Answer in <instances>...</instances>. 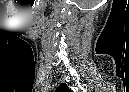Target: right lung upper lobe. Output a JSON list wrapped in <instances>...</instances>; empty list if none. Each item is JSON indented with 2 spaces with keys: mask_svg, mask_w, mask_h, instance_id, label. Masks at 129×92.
I'll list each match as a JSON object with an SVG mask.
<instances>
[{
  "mask_svg": "<svg viewBox=\"0 0 129 92\" xmlns=\"http://www.w3.org/2000/svg\"><path fill=\"white\" fill-rule=\"evenodd\" d=\"M60 89H61L62 91L68 90V88H67V86H66L65 84H61V85H60Z\"/></svg>",
  "mask_w": 129,
  "mask_h": 92,
  "instance_id": "obj_1",
  "label": "right lung upper lobe"
}]
</instances>
